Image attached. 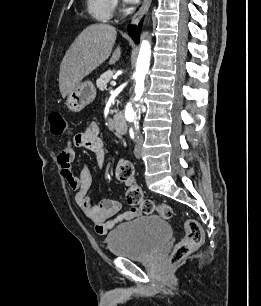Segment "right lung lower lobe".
I'll return each instance as SVG.
<instances>
[{"mask_svg":"<svg viewBox=\"0 0 261 306\" xmlns=\"http://www.w3.org/2000/svg\"><path fill=\"white\" fill-rule=\"evenodd\" d=\"M141 25H142V23H140L138 27H136V26H129L128 27L129 35L132 37V39L136 43H139Z\"/></svg>","mask_w":261,"mask_h":306,"instance_id":"obj_1","label":"right lung lower lobe"}]
</instances>
